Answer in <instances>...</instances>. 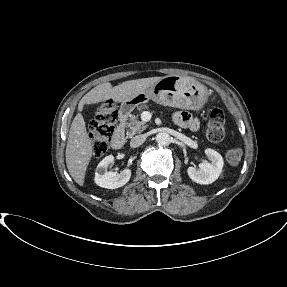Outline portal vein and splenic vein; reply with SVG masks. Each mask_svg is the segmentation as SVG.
<instances>
[{
  "mask_svg": "<svg viewBox=\"0 0 287 287\" xmlns=\"http://www.w3.org/2000/svg\"><path fill=\"white\" fill-rule=\"evenodd\" d=\"M142 116L146 119V120H149L151 118V114L147 111L143 112L142 113Z\"/></svg>",
  "mask_w": 287,
  "mask_h": 287,
  "instance_id": "obj_1",
  "label": "portal vein and splenic vein"
}]
</instances>
